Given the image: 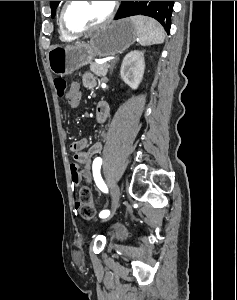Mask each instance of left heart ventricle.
Instances as JSON below:
<instances>
[{
  "label": "left heart ventricle",
  "instance_id": "left-heart-ventricle-1",
  "mask_svg": "<svg viewBox=\"0 0 237 300\" xmlns=\"http://www.w3.org/2000/svg\"><path fill=\"white\" fill-rule=\"evenodd\" d=\"M110 1H71L65 13V22L72 31H80L106 18Z\"/></svg>",
  "mask_w": 237,
  "mask_h": 300
}]
</instances>
